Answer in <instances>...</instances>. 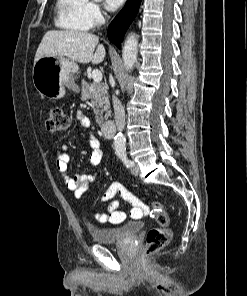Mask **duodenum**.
<instances>
[{
    "label": "duodenum",
    "instance_id": "duodenum-1",
    "mask_svg": "<svg viewBox=\"0 0 247 296\" xmlns=\"http://www.w3.org/2000/svg\"><path fill=\"white\" fill-rule=\"evenodd\" d=\"M103 135L107 138H112L115 133V123L112 119L103 120L100 124Z\"/></svg>",
    "mask_w": 247,
    "mask_h": 296
}]
</instances>
